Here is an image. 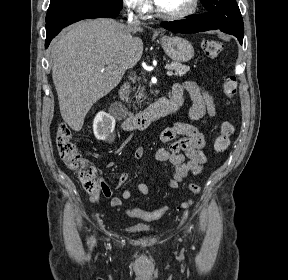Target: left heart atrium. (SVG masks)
<instances>
[{
    "label": "left heart atrium",
    "mask_w": 288,
    "mask_h": 280,
    "mask_svg": "<svg viewBox=\"0 0 288 280\" xmlns=\"http://www.w3.org/2000/svg\"><path fill=\"white\" fill-rule=\"evenodd\" d=\"M159 1H160V0H155V2L157 3V5H158Z\"/></svg>",
    "instance_id": "left-heart-atrium-1"
}]
</instances>
